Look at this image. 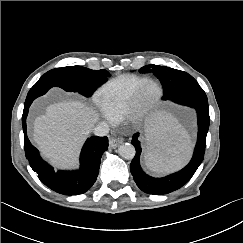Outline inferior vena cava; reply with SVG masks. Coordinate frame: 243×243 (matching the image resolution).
Masks as SVG:
<instances>
[{
  "mask_svg": "<svg viewBox=\"0 0 243 243\" xmlns=\"http://www.w3.org/2000/svg\"><path fill=\"white\" fill-rule=\"evenodd\" d=\"M93 133L97 136H106L109 133V125L106 122H99L93 129Z\"/></svg>",
  "mask_w": 243,
  "mask_h": 243,
  "instance_id": "inferior-vena-cava-1",
  "label": "inferior vena cava"
}]
</instances>
